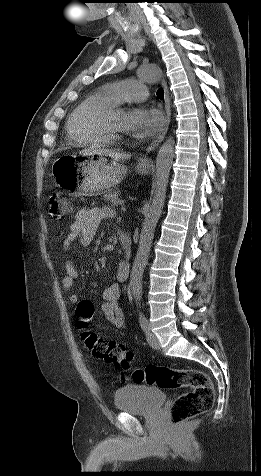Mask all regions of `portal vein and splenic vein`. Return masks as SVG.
I'll return each instance as SVG.
<instances>
[{"label": "portal vein and splenic vein", "mask_w": 261, "mask_h": 476, "mask_svg": "<svg viewBox=\"0 0 261 476\" xmlns=\"http://www.w3.org/2000/svg\"><path fill=\"white\" fill-rule=\"evenodd\" d=\"M121 211H123V212L126 211V208H125L124 205L121 206Z\"/></svg>", "instance_id": "18ae733b"}]
</instances>
